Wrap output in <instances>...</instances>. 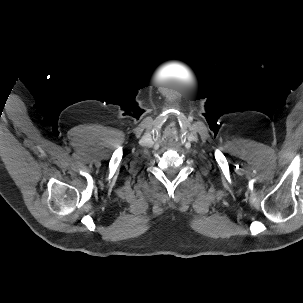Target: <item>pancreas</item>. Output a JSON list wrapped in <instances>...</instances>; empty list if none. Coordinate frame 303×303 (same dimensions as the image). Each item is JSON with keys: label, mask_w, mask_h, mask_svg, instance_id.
Wrapping results in <instances>:
<instances>
[{"label": "pancreas", "mask_w": 303, "mask_h": 303, "mask_svg": "<svg viewBox=\"0 0 303 303\" xmlns=\"http://www.w3.org/2000/svg\"><path fill=\"white\" fill-rule=\"evenodd\" d=\"M28 136H30L31 138H35V136L32 133H28ZM40 144L44 145L43 141H39Z\"/></svg>", "instance_id": "pancreas-1"}]
</instances>
